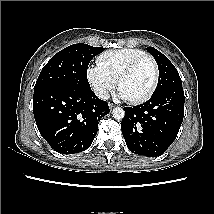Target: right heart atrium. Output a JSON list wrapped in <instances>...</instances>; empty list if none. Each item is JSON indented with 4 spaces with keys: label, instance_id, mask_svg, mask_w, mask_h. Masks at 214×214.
<instances>
[{
    "label": "right heart atrium",
    "instance_id": "obj_1",
    "mask_svg": "<svg viewBox=\"0 0 214 214\" xmlns=\"http://www.w3.org/2000/svg\"><path fill=\"white\" fill-rule=\"evenodd\" d=\"M86 77L94 93L101 99H106L116 86V79L98 64L87 68Z\"/></svg>",
    "mask_w": 214,
    "mask_h": 214
}]
</instances>
